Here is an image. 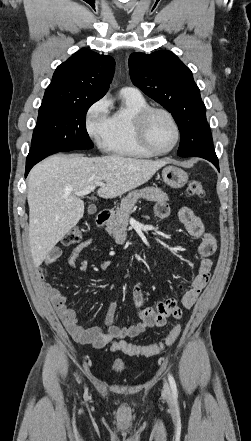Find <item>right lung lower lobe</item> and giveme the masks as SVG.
<instances>
[{
    "label": "right lung lower lobe",
    "instance_id": "98d812e1",
    "mask_svg": "<svg viewBox=\"0 0 251 441\" xmlns=\"http://www.w3.org/2000/svg\"><path fill=\"white\" fill-rule=\"evenodd\" d=\"M58 151L46 150V149H30V152L26 160L25 177L28 175L30 169L39 161L46 158L49 155L57 153Z\"/></svg>",
    "mask_w": 251,
    "mask_h": 441
}]
</instances>
